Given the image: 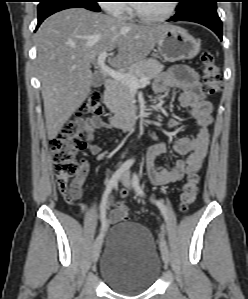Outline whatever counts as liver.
<instances>
[{
  "label": "liver",
  "instance_id": "obj_1",
  "mask_svg": "<svg viewBox=\"0 0 248 299\" xmlns=\"http://www.w3.org/2000/svg\"><path fill=\"white\" fill-rule=\"evenodd\" d=\"M168 27L127 24L84 8L47 18L36 34V64L48 139L57 136L88 97L93 78L90 65L96 57L110 52L112 66L134 65L150 54Z\"/></svg>",
  "mask_w": 248,
  "mask_h": 299
}]
</instances>
